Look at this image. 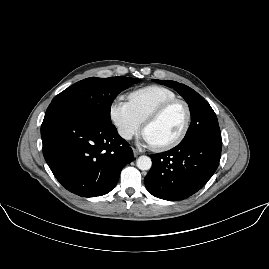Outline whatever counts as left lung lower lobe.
<instances>
[{
  "label": "left lung lower lobe",
  "mask_w": 269,
  "mask_h": 269,
  "mask_svg": "<svg viewBox=\"0 0 269 269\" xmlns=\"http://www.w3.org/2000/svg\"><path fill=\"white\" fill-rule=\"evenodd\" d=\"M221 148V139L207 137L151 155L152 167L144 179L147 190L164 200L177 201L193 195L216 171Z\"/></svg>",
  "instance_id": "0a47b994"
}]
</instances>
